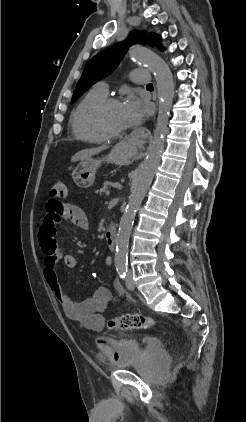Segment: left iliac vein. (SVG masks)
<instances>
[{
  "label": "left iliac vein",
  "mask_w": 246,
  "mask_h": 422,
  "mask_svg": "<svg viewBox=\"0 0 246 422\" xmlns=\"http://www.w3.org/2000/svg\"><path fill=\"white\" fill-rule=\"evenodd\" d=\"M126 286L129 290L135 289V284H134V281L132 280V276L130 273H128L127 278H126Z\"/></svg>",
  "instance_id": "obj_1"
}]
</instances>
